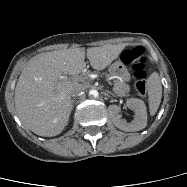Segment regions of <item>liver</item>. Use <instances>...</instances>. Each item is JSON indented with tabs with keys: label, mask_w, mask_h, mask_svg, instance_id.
<instances>
[{
	"label": "liver",
	"mask_w": 187,
	"mask_h": 187,
	"mask_svg": "<svg viewBox=\"0 0 187 187\" xmlns=\"http://www.w3.org/2000/svg\"><path fill=\"white\" fill-rule=\"evenodd\" d=\"M126 44L69 48L46 52L31 59L23 68L15 89V108L26 128L39 136L60 134L72 110L71 90L77 80H64L63 74L85 72V54L95 70L105 69Z\"/></svg>",
	"instance_id": "liver-1"
}]
</instances>
